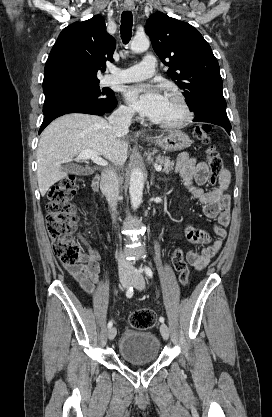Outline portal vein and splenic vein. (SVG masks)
<instances>
[{
	"label": "portal vein and splenic vein",
	"instance_id": "18ae733b",
	"mask_svg": "<svg viewBox=\"0 0 272 417\" xmlns=\"http://www.w3.org/2000/svg\"><path fill=\"white\" fill-rule=\"evenodd\" d=\"M78 160H88L91 159L95 164L99 165V166H107L108 162L103 159L102 157H100L98 155V153L96 151L93 150H84L82 151L78 156H77ZM155 170L157 172H160L162 170V166L158 165L155 167Z\"/></svg>",
	"mask_w": 272,
	"mask_h": 417
}]
</instances>
